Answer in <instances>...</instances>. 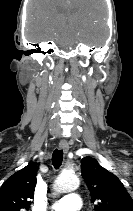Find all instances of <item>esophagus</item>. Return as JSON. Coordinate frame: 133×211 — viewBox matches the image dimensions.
<instances>
[{"label": "esophagus", "instance_id": "esophagus-1", "mask_svg": "<svg viewBox=\"0 0 133 211\" xmlns=\"http://www.w3.org/2000/svg\"><path fill=\"white\" fill-rule=\"evenodd\" d=\"M59 149L63 150L65 153H67L68 150H69V145H68L67 141H60L59 142Z\"/></svg>", "mask_w": 133, "mask_h": 211}]
</instances>
